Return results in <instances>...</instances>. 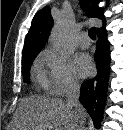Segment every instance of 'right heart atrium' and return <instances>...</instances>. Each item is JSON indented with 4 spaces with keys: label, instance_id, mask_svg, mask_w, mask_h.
I'll return each mask as SVG.
<instances>
[{
    "label": "right heart atrium",
    "instance_id": "d8ad5b80",
    "mask_svg": "<svg viewBox=\"0 0 123 130\" xmlns=\"http://www.w3.org/2000/svg\"><path fill=\"white\" fill-rule=\"evenodd\" d=\"M37 63L44 84L51 94L63 95L78 87V78L66 55L45 49Z\"/></svg>",
    "mask_w": 123,
    "mask_h": 130
}]
</instances>
